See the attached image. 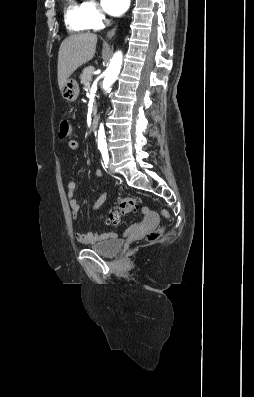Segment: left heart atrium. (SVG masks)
<instances>
[{"label":"left heart atrium","mask_w":254,"mask_h":397,"mask_svg":"<svg viewBox=\"0 0 254 397\" xmlns=\"http://www.w3.org/2000/svg\"><path fill=\"white\" fill-rule=\"evenodd\" d=\"M106 13L112 16L121 15L129 6V0H101Z\"/></svg>","instance_id":"left-heart-atrium-1"}]
</instances>
